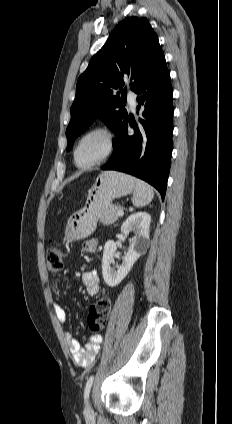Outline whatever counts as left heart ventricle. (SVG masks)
<instances>
[{"instance_id": "1", "label": "left heart ventricle", "mask_w": 232, "mask_h": 424, "mask_svg": "<svg viewBox=\"0 0 232 424\" xmlns=\"http://www.w3.org/2000/svg\"><path fill=\"white\" fill-rule=\"evenodd\" d=\"M105 149V138L100 134L86 137L79 146L80 163H88L99 157Z\"/></svg>"}]
</instances>
